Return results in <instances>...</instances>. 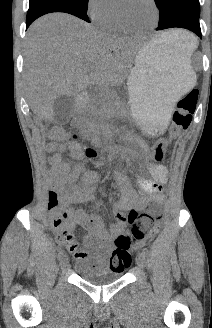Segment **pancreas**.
I'll list each match as a JSON object with an SVG mask.
<instances>
[{
  "instance_id": "obj_1",
  "label": "pancreas",
  "mask_w": 212,
  "mask_h": 328,
  "mask_svg": "<svg viewBox=\"0 0 212 328\" xmlns=\"http://www.w3.org/2000/svg\"><path fill=\"white\" fill-rule=\"evenodd\" d=\"M97 104H101V109L96 108ZM124 106L125 104L118 99L114 91L101 93L98 98L91 99L83 107L75 120V125L84 135L98 139V129L103 116L114 114Z\"/></svg>"
}]
</instances>
